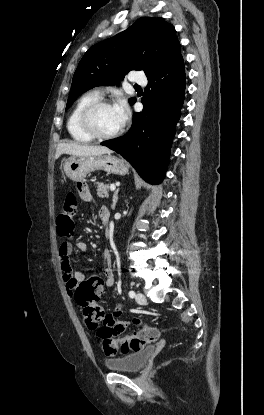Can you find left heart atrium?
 Wrapping results in <instances>:
<instances>
[{"mask_svg": "<svg viewBox=\"0 0 264 415\" xmlns=\"http://www.w3.org/2000/svg\"><path fill=\"white\" fill-rule=\"evenodd\" d=\"M116 112L118 113L120 119L122 122H125V120L128 117L129 110L128 106L126 104V101L124 99H119V101L114 105Z\"/></svg>", "mask_w": 264, "mask_h": 415, "instance_id": "39dd6f15", "label": "left heart atrium"}]
</instances>
